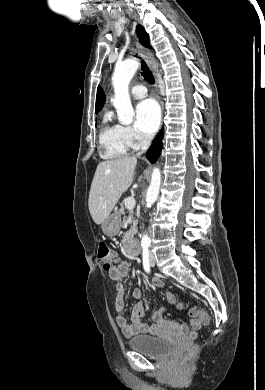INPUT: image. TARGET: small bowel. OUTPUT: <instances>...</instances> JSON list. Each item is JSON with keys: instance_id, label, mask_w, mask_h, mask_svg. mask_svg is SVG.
<instances>
[{"instance_id": "1", "label": "small bowel", "mask_w": 265, "mask_h": 390, "mask_svg": "<svg viewBox=\"0 0 265 390\" xmlns=\"http://www.w3.org/2000/svg\"><path fill=\"white\" fill-rule=\"evenodd\" d=\"M119 258L115 255V261ZM130 270V264L127 261H120L116 266L108 271L109 277L116 282L117 298H116V309L118 314L116 316V324L125 336H132L140 333L155 334L158 332L159 327L164 323V308H160L151 313L153 320L152 324H148L142 321L147 314L142 303H137L131 314L130 321L123 315L122 310L124 307V284L123 280ZM154 285L161 287L163 281L161 279H154ZM132 297L136 300L141 299L142 290L135 288L132 292ZM191 330H188L185 326H180L179 330L189 338H194L197 335V331L201 328V322L193 319L191 322Z\"/></svg>"}]
</instances>
